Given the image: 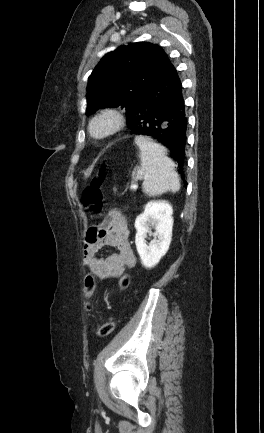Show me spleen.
<instances>
[{
  "label": "spleen",
  "instance_id": "3e777b00",
  "mask_svg": "<svg viewBox=\"0 0 264 433\" xmlns=\"http://www.w3.org/2000/svg\"><path fill=\"white\" fill-rule=\"evenodd\" d=\"M135 143L140 149L141 167L144 175L143 191L150 196H158L168 191L176 193L180 189L178 174L173 161L167 157L165 148L148 137L137 136Z\"/></svg>",
  "mask_w": 264,
  "mask_h": 433
}]
</instances>
